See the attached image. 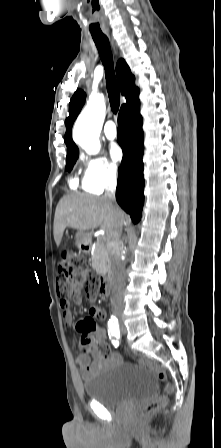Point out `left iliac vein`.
<instances>
[{"label":"left iliac vein","mask_w":221,"mask_h":448,"mask_svg":"<svg viewBox=\"0 0 221 448\" xmlns=\"http://www.w3.org/2000/svg\"><path fill=\"white\" fill-rule=\"evenodd\" d=\"M121 332H122V334H124L126 332L124 327L121 328Z\"/></svg>","instance_id":"1"}]
</instances>
